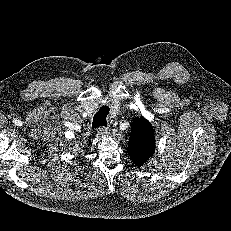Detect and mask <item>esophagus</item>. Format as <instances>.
Instances as JSON below:
<instances>
[{"mask_svg": "<svg viewBox=\"0 0 231 231\" xmlns=\"http://www.w3.org/2000/svg\"><path fill=\"white\" fill-rule=\"evenodd\" d=\"M109 128L108 127H101L97 129V135L99 136H103V135H107L109 133Z\"/></svg>", "mask_w": 231, "mask_h": 231, "instance_id": "obj_1", "label": "esophagus"}]
</instances>
